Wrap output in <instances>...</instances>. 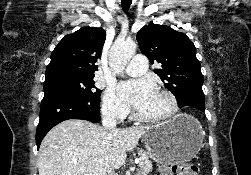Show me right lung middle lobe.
<instances>
[{
    "label": "right lung middle lobe",
    "instance_id": "1",
    "mask_svg": "<svg viewBox=\"0 0 251 175\" xmlns=\"http://www.w3.org/2000/svg\"><path fill=\"white\" fill-rule=\"evenodd\" d=\"M94 76H52L46 77L44 81V92L49 90H63L77 94L82 97H93L100 95V90L95 87Z\"/></svg>",
    "mask_w": 251,
    "mask_h": 175
}]
</instances>
